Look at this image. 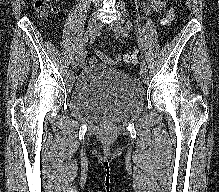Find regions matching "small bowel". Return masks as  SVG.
I'll list each match as a JSON object with an SVG mask.
<instances>
[{
	"instance_id": "c3829d8e",
	"label": "small bowel",
	"mask_w": 219,
	"mask_h": 192,
	"mask_svg": "<svg viewBox=\"0 0 219 192\" xmlns=\"http://www.w3.org/2000/svg\"><path fill=\"white\" fill-rule=\"evenodd\" d=\"M151 7L156 12H161L166 7L165 0H150ZM147 13H150L149 8L145 7Z\"/></svg>"
}]
</instances>
